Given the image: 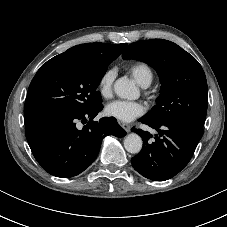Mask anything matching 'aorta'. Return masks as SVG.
<instances>
[{"mask_svg":"<svg viewBox=\"0 0 227 227\" xmlns=\"http://www.w3.org/2000/svg\"><path fill=\"white\" fill-rule=\"evenodd\" d=\"M114 91L120 98L123 99H135L138 96V89L135 84L124 78L116 80L114 84ZM142 139L139 135L131 133L124 139V147L127 152L131 154H137L142 149Z\"/></svg>","mask_w":227,"mask_h":227,"instance_id":"1","label":"aorta"}]
</instances>
